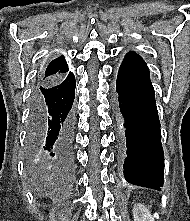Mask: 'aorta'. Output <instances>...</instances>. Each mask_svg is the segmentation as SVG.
Listing matches in <instances>:
<instances>
[{
	"label": "aorta",
	"mask_w": 190,
	"mask_h": 221,
	"mask_svg": "<svg viewBox=\"0 0 190 221\" xmlns=\"http://www.w3.org/2000/svg\"><path fill=\"white\" fill-rule=\"evenodd\" d=\"M118 128H119V132L121 134H123V130H124V119L122 117V115L119 113L118 115Z\"/></svg>",
	"instance_id": "obj_1"
}]
</instances>
